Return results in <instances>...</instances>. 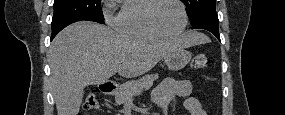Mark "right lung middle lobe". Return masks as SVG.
Returning a JSON list of instances; mask_svg holds the SVG:
<instances>
[{"instance_id":"obj_1","label":"right lung middle lobe","mask_w":285,"mask_h":115,"mask_svg":"<svg viewBox=\"0 0 285 115\" xmlns=\"http://www.w3.org/2000/svg\"><path fill=\"white\" fill-rule=\"evenodd\" d=\"M101 0H55L52 29L80 20L104 24Z\"/></svg>"}]
</instances>
